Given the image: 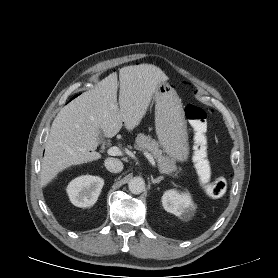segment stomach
I'll list each match as a JSON object with an SVG mask.
<instances>
[{
    "mask_svg": "<svg viewBox=\"0 0 278 278\" xmlns=\"http://www.w3.org/2000/svg\"><path fill=\"white\" fill-rule=\"evenodd\" d=\"M156 134L172 159L185 162L189 156L187 123L175 89L162 82L154 92Z\"/></svg>",
    "mask_w": 278,
    "mask_h": 278,
    "instance_id": "stomach-1",
    "label": "stomach"
}]
</instances>
